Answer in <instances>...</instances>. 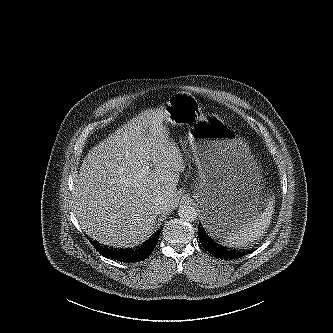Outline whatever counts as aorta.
Segmentation results:
<instances>
[{"mask_svg":"<svg viewBox=\"0 0 333 333\" xmlns=\"http://www.w3.org/2000/svg\"><path fill=\"white\" fill-rule=\"evenodd\" d=\"M178 216L187 222H193L197 217L196 209L190 205H181L178 209Z\"/></svg>","mask_w":333,"mask_h":333,"instance_id":"obj_1","label":"aorta"}]
</instances>
